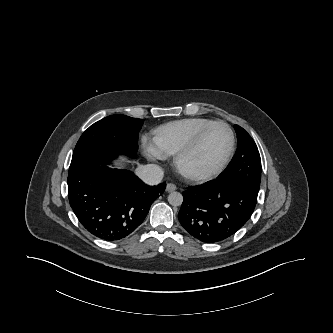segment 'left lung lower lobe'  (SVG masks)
Returning <instances> with one entry per match:
<instances>
[{"label":"left lung lower lobe","instance_id":"left-lung-lower-lobe-1","mask_svg":"<svg viewBox=\"0 0 333 333\" xmlns=\"http://www.w3.org/2000/svg\"><path fill=\"white\" fill-rule=\"evenodd\" d=\"M258 190L235 180H213L183 192L178 219L193 237L215 243L235 234L251 217Z\"/></svg>","mask_w":333,"mask_h":333}]
</instances>
